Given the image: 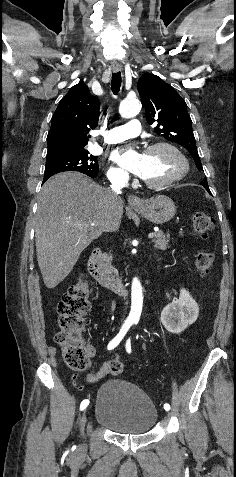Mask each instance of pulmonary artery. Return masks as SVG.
I'll return each instance as SVG.
<instances>
[{"label": "pulmonary artery", "mask_w": 236, "mask_h": 477, "mask_svg": "<svg viewBox=\"0 0 236 477\" xmlns=\"http://www.w3.org/2000/svg\"><path fill=\"white\" fill-rule=\"evenodd\" d=\"M141 131V123L137 119L130 120L127 124L102 131L105 141L110 144L125 141L127 139L136 137Z\"/></svg>", "instance_id": "pulmonary-artery-1"}]
</instances>
